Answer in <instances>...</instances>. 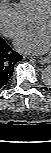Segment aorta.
<instances>
[{
	"label": "aorta",
	"mask_w": 51,
	"mask_h": 153,
	"mask_svg": "<svg viewBox=\"0 0 51 153\" xmlns=\"http://www.w3.org/2000/svg\"><path fill=\"white\" fill-rule=\"evenodd\" d=\"M41 78H42V81L44 82V84H46V85L51 84V68L49 66H47L43 70Z\"/></svg>",
	"instance_id": "aorta-1"
}]
</instances>
